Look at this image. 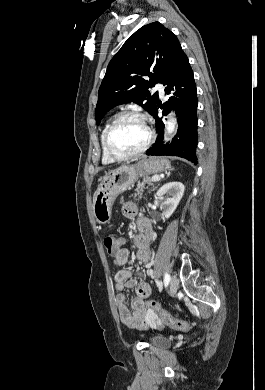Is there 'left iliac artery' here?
<instances>
[{"label":"left iliac artery","instance_id":"left-iliac-artery-1","mask_svg":"<svg viewBox=\"0 0 265 390\" xmlns=\"http://www.w3.org/2000/svg\"><path fill=\"white\" fill-rule=\"evenodd\" d=\"M170 282V275L168 273H165L164 275V284L165 286H167ZM157 286L159 288V290L162 289V283L161 282H157Z\"/></svg>","mask_w":265,"mask_h":390}]
</instances>
